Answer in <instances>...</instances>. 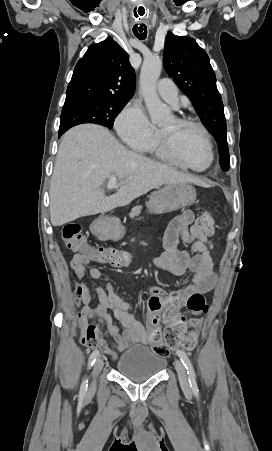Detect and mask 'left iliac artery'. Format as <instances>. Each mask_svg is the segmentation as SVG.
Instances as JSON below:
<instances>
[{
  "instance_id": "1",
  "label": "left iliac artery",
  "mask_w": 272,
  "mask_h": 451,
  "mask_svg": "<svg viewBox=\"0 0 272 451\" xmlns=\"http://www.w3.org/2000/svg\"><path fill=\"white\" fill-rule=\"evenodd\" d=\"M177 355L179 356L180 360L182 361L183 365L185 366L189 378V384L190 387L194 393V395L198 398L199 397V390L196 383V376L193 369V365L189 359V357L181 350L177 351Z\"/></svg>"
}]
</instances>
